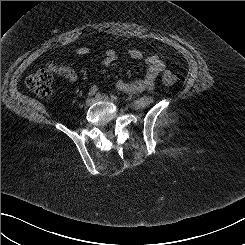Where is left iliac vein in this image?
Returning <instances> with one entry per match:
<instances>
[{"mask_svg": "<svg viewBox=\"0 0 245 245\" xmlns=\"http://www.w3.org/2000/svg\"><path fill=\"white\" fill-rule=\"evenodd\" d=\"M96 101H111L110 98L107 95H101L99 97H96Z\"/></svg>", "mask_w": 245, "mask_h": 245, "instance_id": "4c4485c4", "label": "left iliac vein"}]
</instances>
